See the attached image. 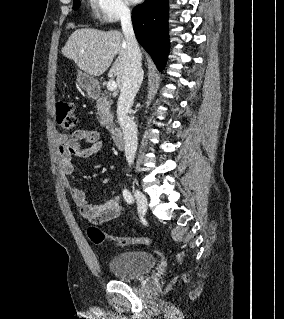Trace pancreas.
<instances>
[{"instance_id":"pancreas-1","label":"pancreas","mask_w":284,"mask_h":319,"mask_svg":"<svg viewBox=\"0 0 284 319\" xmlns=\"http://www.w3.org/2000/svg\"><path fill=\"white\" fill-rule=\"evenodd\" d=\"M111 100L106 97L101 98L96 105L97 119L101 124H106L113 120V114L110 112Z\"/></svg>"}]
</instances>
